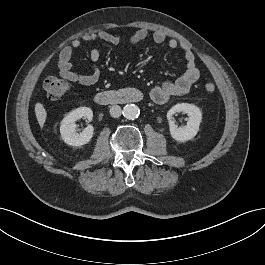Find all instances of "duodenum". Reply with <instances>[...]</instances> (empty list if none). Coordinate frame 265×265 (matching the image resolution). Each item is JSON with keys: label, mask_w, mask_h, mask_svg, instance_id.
<instances>
[{"label": "duodenum", "mask_w": 265, "mask_h": 265, "mask_svg": "<svg viewBox=\"0 0 265 265\" xmlns=\"http://www.w3.org/2000/svg\"><path fill=\"white\" fill-rule=\"evenodd\" d=\"M142 93L137 89L102 91L95 95L99 105L130 104L141 101Z\"/></svg>", "instance_id": "1"}]
</instances>
